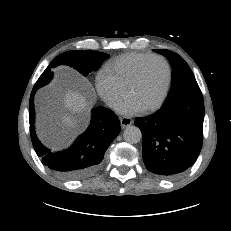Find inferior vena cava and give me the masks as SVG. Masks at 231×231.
Instances as JSON below:
<instances>
[{"mask_svg": "<svg viewBox=\"0 0 231 231\" xmlns=\"http://www.w3.org/2000/svg\"><path fill=\"white\" fill-rule=\"evenodd\" d=\"M105 102H106V104L109 105L110 107H114V106L116 105V102H115L113 99H111V98L105 99Z\"/></svg>", "mask_w": 231, "mask_h": 231, "instance_id": "602c4592", "label": "inferior vena cava"}]
</instances>
